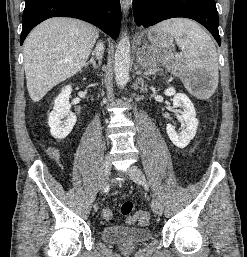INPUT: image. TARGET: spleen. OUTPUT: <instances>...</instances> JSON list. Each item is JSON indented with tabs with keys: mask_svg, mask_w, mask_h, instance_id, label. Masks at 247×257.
Returning <instances> with one entry per match:
<instances>
[{
	"mask_svg": "<svg viewBox=\"0 0 247 257\" xmlns=\"http://www.w3.org/2000/svg\"><path fill=\"white\" fill-rule=\"evenodd\" d=\"M156 34L169 33L182 48L187 73L197 79L204 73L210 75L207 89L199 94L202 99L209 98L218 85V55L211 37L194 21L185 18H174L163 21L152 28ZM191 89L189 81H185Z\"/></svg>",
	"mask_w": 247,
	"mask_h": 257,
	"instance_id": "3e777b00",
	"label": "spleen"
}]
</instances>
